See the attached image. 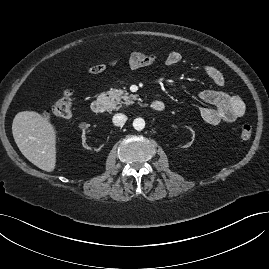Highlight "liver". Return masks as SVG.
<instances>
[{"label": "liver", "mask_w": 269, "mask_h": 269, "mask_svg": "<svg viewBox=\"0 0 269 269\" xmlns=\"http://www.w3.org/2000/svg\"><path fill=\"white\" fill-rule=\"evenodd\" d=\"M56 129L36 111L15 115L12 134L21 153L38 168L52 172L56 166Z\"/></svg>", "instance_id": "6515ba94"}]
</instances>
